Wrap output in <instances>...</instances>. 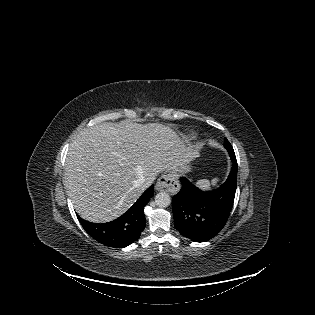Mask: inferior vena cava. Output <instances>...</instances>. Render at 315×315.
<instances>
[{"instance_id": "obj_1", "label": "inferior vena cava", "mask_w": 315, "mask_h": 315, "mask_svg": "<svg viewBox=\"0 0 315 315\" xmlns=\"http://www.w3.org/2000/svg\"><path fill=\"white\" fill-rule=\"evenodd\" d=\"M154 179L152 178H147L146 180L143 181L142 186L144 189L148 188L152 183Z\"/></svg>"}]
</instances>
